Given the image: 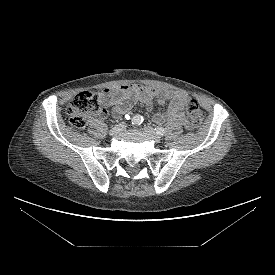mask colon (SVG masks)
<instances>
[{
	"instance_id": "obj_1",
	"label": "colon",
	"mask_w": 275,
	"mask_h": 275,
	"mask_svg": "<svg viewBox=\"0 0 275 275\" xmlns=\"http://www.w3.org/2000/svg\"><path fill=\"white\" fill-rule=\"evenodd\" d=\"M104 105V97L99 92L84 91L77 94L67 107V115L71 126L82 129L91 115L102 114L106 111ZM187 116L192 127H198L202 123L204 112L195 100H189Z\"/></svg>"
}]
</instances>
